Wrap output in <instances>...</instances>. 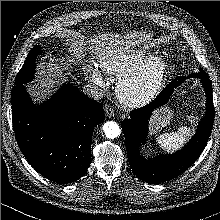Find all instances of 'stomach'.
<instances>
[{
  "label": "stomach",
  "mask_w": 220,
  "mask_h": 220,
  "mask_svg": "<svg viewBox=\"0 0 220 220\" xmlns=\"http://www.w3.org/2000/svg\"><path fill=\"white\" fill-rule=\"evenodd\" d=\"M138 37L139 36L137 35V39H138ZM147 40H148V37L147 36L145 37V35H144L142 42L146 44V43H148ZM172 116H173V114L169 109H164L163 111L156 113L154 120H153L154 129L159 130V129H162V128L166 127L167 125H169L170 121L172 119Z\"/></svg>",
  "instance_id": "stomach-1"
}]
</instances>
